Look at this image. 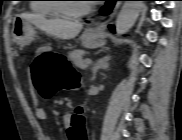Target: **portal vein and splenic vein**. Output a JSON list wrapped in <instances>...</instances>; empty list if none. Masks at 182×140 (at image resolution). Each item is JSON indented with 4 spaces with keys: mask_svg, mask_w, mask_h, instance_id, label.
Listing matches in <instances>:
<instances>
[{
    "mask_svg": "<svg viewBox=\"0 0 182 140\" xmlns=\"http://www.w3.org/2000/svg\"><path fill=\"white\" fill-rule=\"evenodd\" d=\"M85 63H86L87 65H89V64L92 63V60L87 58V59H85Z\"/></svg>",
    "mask_w": 182,
    "mask_h": 140,
    "instance_id": "1",
    "label": "portal vein and splenic vein"
}]
</instances>
